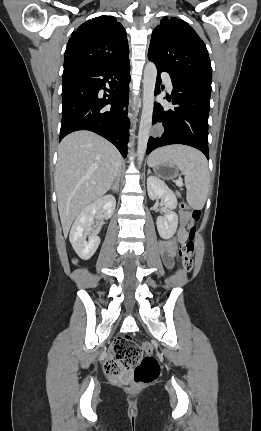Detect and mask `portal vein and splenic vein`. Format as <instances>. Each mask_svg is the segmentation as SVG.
<instances>
[{
	"label": "portal vein and splenic vein",
	"mask_w": 261,
	"mask_h": 431,
	"mask_svg": "<svg viewBox=\"0 0 261 431\" xmlns=\"http://www.w3.org/2000/svg\"><path fill=\"white\" fill-rule=\"evenodd\" d=\"M176 184L179 186V187H181L182 186V182H181V180L179 179V180H177L176 181Z\"/></svg>",
	"instance_id": "18ae733b"
}]
</instances>
